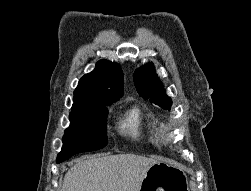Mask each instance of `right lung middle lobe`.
Returning <instances> with one entry per match:
<instances>
[{"instance_id": "obj_1", "label": "right lung middle lobe", "mask_w": 251, "mask_h": 191, "mask_svg": "<svg viewBox=\"0 0 251 191\" xmlns=\"http://www.w3.org/2000/svg\"><path fill=\"white\" fill-rule=\"evenodd\" d=\"M106 106H88L71 111L70 127L62 138L63 147L57 155L56 163H61L80 152H91L107 145Z\"/></svg>"}]
</instances>
